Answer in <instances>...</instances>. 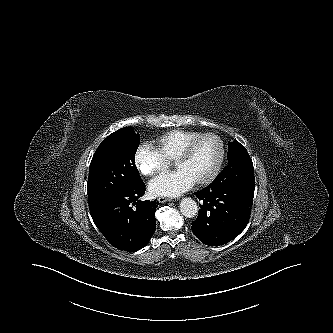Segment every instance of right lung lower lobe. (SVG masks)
<instances>
[{"label":"right lung lower lobe","instance_id":"1","mask_svg":"<svg viewBox=\"0 0 333 333\" xmlns=\"http://www.w3.org/2000/svg\"><path fill=\"white\" fill-rule=\"evenodd\" d=\"M144 182L130 190L89 203L92 219L115 248L128 252L142 249L156 229L155 209L159 202L139 200Z\"/></svg>","mask_w":333,"mask_h":333}]
</instances>
